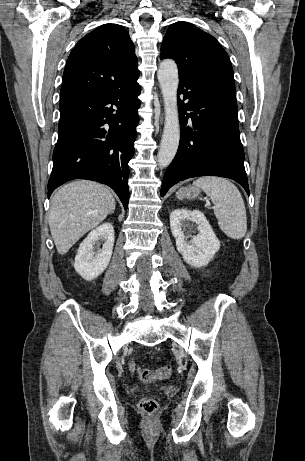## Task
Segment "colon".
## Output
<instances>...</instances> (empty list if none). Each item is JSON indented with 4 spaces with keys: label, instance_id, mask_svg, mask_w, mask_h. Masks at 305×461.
Instances as JSON below:
<instances>
[{
    "label": "colon",
    "instance_id": "1",
    "mask_svg": "<svg viewBox=\"0 0 305 461\" xmlns=\"http://www.w3.org/2000/svg\"><path fill=\"white\" fill-rule=\"evenodd\" d=\"M136 373L141 381L151 382L170 377L172 375V366L164 365L157 370H150L148 368L138 367L136 369ZM138 407L141 411L147 414H153L158 409V403L154 398L146 396L140 399Z\"/></svg>",
    "mask_w": 305,
    "mask_h": 461
}]
</instances>
